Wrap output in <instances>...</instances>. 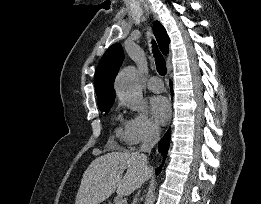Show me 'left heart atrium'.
<instances>
[{
	"label": "left heart atrium",
	"mask_w": 261,
	"mask_h": 204,
	"mask_svg": "<svg viewBox=\"0 0 261 204\" xmlns=\"http://www.w3.org/2000/svg\"><path fill=\"white\" fill-rule=\"evenodd\" d=\"M150 109L153 117L160 124H165L170 118V104L163 96L152 97L150 100Z\"/></svg>",
	"instance_id": "39dd6f15"
}]
</instances>
